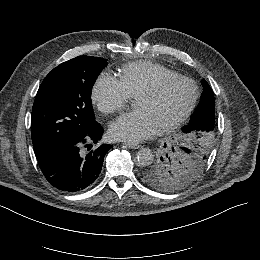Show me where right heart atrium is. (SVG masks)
<instances>
[{
    "instance_id": "obj_1",
    "label": "right heart atrium",
    "mask_w": 260,
    "mask_h": 260,
    "mask_svg": "<svg viewBox=\"0 0 260 260\" xmlns=\"http://www.w3.org/2000/svg\"><path fill=\"white\" fill-rule=\"evenodd\" d=\"M92 99L102 113L110 115L120 111L129 102L130 95L119 79L102 72L93 85Z\"/></svg>"
}]
</instances>
